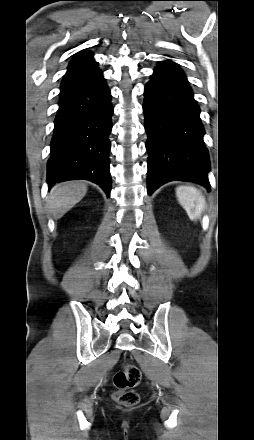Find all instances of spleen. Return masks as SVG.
Returning <instances> with one entry per match:
<instances>
[{
	"instance_id": "obj_1",
	"label": "spleen",
	"mask_w": 254,
	"mask_h": 440,
	"mask_svg": "<svg viewBox=\"0 0 254 440\" xmlns=\"http://www.w3.org/2000/svg\"><path fill=\"white\" fill-rule=\"evenodd\" d=\"M176 196L190 220L196 221L201 217L206 200L199 189L191 185H182L176 188Z\"/></svg>"
}]
</instances>
